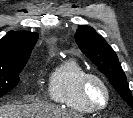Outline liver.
<instances>
[{
    "instance_id": "liver-1",
    "label": "liver",
    "mask_w": 133,
    "mask_h": 118,
    "mask_svg": "<svg viewBox=\"0 0 133 118\" xmlns=\"http://www.w3.org/2000/svg\"><path fill=\"white\" fill-rule=\"evenodd\" d=\"M0 118H82L80 114L48 104H5Z\"/></svg>"
}]
</instances>
